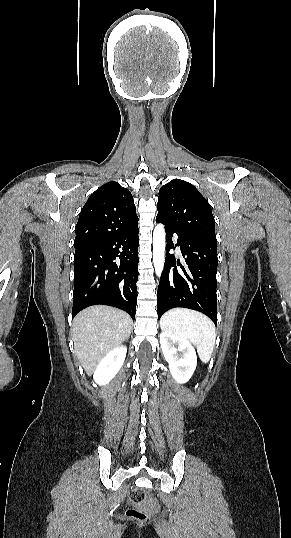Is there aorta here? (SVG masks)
Masks as SVG:
<instances>
[{
	"instance_id": "aorta-1",
	"label": "aorta",
	"mask_w": 291,
	"mask_h": 538,
	"mask_svg": "<svg viewBox=\"0 0 291 538\" xmlns=\"http://www.w3.org/2000/svg\"><path fill=\"white\" fill-rule=\"evenodd\" d=\"M165 246L164 226L157 224L153 232V264L157 276L161 275L164 268Z\"/></svg>"
}]
</instances>
